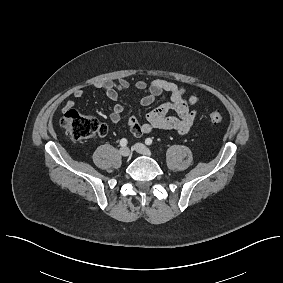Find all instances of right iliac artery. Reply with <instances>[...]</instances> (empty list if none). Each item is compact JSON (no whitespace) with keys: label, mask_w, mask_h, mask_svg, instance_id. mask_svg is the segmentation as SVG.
<instances>
[{"label":"right iliac artery","mask_w":283,"mask_h":283,"mask_svg":"<svg viewBox=\"0 0 283 283\" xmlns=\"http://www.w3.org/2000/svg\"><path fill=\"white\" fill-rule=\"evenodd\" d=\"M127 143H128V141H127V139H125V138H123V139L120 140V145H121L122 147H125V146L127 145Z\"/></svg>","instance_id":"obj_1"}]
</instances>
